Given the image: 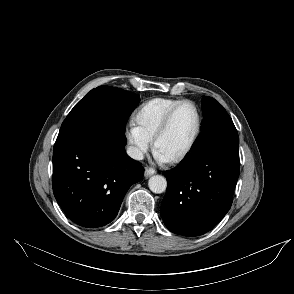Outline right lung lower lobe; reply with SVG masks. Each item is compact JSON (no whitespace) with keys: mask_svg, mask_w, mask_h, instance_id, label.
<instances>
[{"mask_svg":"<svg viewBox=\"0 0 294 294\" xmlns=\"http://www.w3.org/2000/svg\"><path fill=\"white\" fill-rule=\"evenodd\" d=\"M98 98L106 100L99 92ZM125 132L106 130L64 137L53 149V193L76 224L95 228L115 219L131 185L144 174L128 157Z\"/></svg>","mask_w":294,"mask_h":294,"instance_id":"98d812e1","label":"right lung lower lobe"}]
</instances>
